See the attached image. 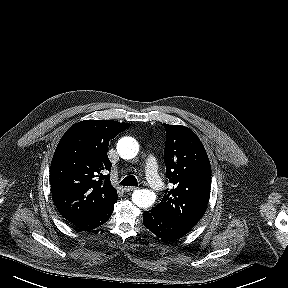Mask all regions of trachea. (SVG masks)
Segmentation results:
<instances>
[{
  "mask_svg": "<svg viewBox=\"0 0 288 288\" xmlns=\"http://www.w3.org/2000/svg\"><path fill=\"white\" fill-rule=\"evenodd\" d=\"M121 185H123V186H138V182L134 176L130 175V176L125 177L121 181Z\"/></svg>",
  "mask_w": 288,
  "mask_h": 288,
  "instance_id": "obj_1",
  "label": "trachea"
}]
</instances>
